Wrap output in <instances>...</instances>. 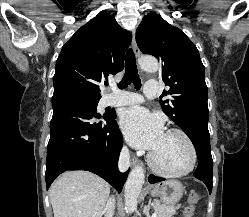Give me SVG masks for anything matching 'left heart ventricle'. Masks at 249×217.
I'll list each match as a JSON object with an SVG mask.
<instances>
[{"mask_svg":"<svg viewBox=\"0 0 249 217\" xmlns=\"http://www.w3.org/2000/svg\"><path fill=\"white\" fill-rule=\"evenodd\" d=\"M152 153L155 162L161 168L169 171L184 169L190 159L186 143L176 134H164L160 145Z\"/></svg>","mask_w":249,"mask_h":217,"instance_id":"left-heart-ventricle-1","label":"left heart ventricle"}]
</instances>
